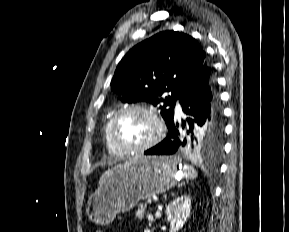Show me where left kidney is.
<instances>
[{
    "label": "left kidney",
    "instance_id": "1",
    "mask_svg": "<svg viewBox=\"0 0 289 232\" xmlns=\"http://www.w3.org/2000/svg\"><path fill=\"white\" fill-rule=\"evenodd\" d=\"M191 200L187 195L177 197L166 207L167 219L170 222V232L179 231L190 216ZM144 232H150L146 229Z\"/></svg>",
    "mask_w": 289,
    "mask_h": 232
}]
</instances>
